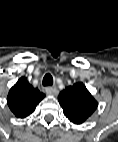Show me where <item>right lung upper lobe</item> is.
Instances as JSON below:
<instances>
[{"label": "right lung upper lobe", "mask_w": 118, "mask_h": 142, "mask_svg": "<svg viewBox=\"0 0 118 142\" xmlns=\"http://www.w3.org/2000/svg\"><path fill=\"white\" fill-rule=\"evenodd\" d=\"M45 95L33 87L25 77H21L10 89L7 103L10 110L18 118H25L32 114L37 104Z\"/></svg>", "instance_id": "1"}]
</instances>
